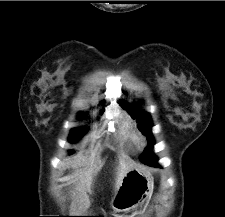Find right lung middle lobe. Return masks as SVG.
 <instances>
[{"mask_svg":"<svg viewBox=\"0 0 225 217\" xmlns=\"http://www.w3.org/2000/svg\"><path fill=\"white\" fill-rule=\"evenodd\" d=\"M84 116V115H83ZM86 132V129L77 128L73 129L70 136V142L75 143L79 140V138Z\"/></svg>","mask_w":225,"mask_h":217,"instance_id":"1","label":"right lung middle lobe"}]
</instances>
